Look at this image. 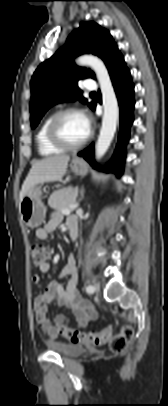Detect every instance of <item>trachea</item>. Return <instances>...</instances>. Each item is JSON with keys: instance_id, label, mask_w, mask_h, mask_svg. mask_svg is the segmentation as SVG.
Here are the masks:
<instances>
[{"instance_id": "obj_1", "label": "trachea", "mask_w": 168, "mask_h": 406, "mask_svg": "<svg viewBox=\"0 0 168 406\" xmlns=\"http://www.w3.org/2000/svg\"><path fill=\"white\" fill-rule=\"evenodd\" d=\"M96 92H91V94H95Z\"/></svg>"}]
</instances>
